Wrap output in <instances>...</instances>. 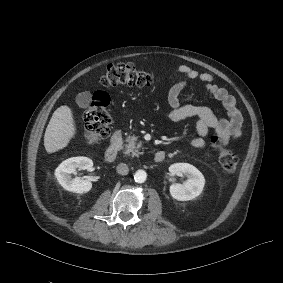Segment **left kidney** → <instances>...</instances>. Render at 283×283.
<instances>
[{
    "label": "left kidney",
    "instance_id": "1",
    "mask_svg": "<svg viewBox=\"0 0 283 283\" xmlns=\"http://www.w3.org/2000/svg\"><path fill=\"white\" fill-rule=\"evenodd\" d=\"M170 175H184L187 180L183 184L174 183L170 186L171 196L178 201H188L201 194L205 185L203 174L188 163H175L169 167Z\"/></svg>",
    "mask_w": 283,
    "mask_h": 283
}]
</instances>
